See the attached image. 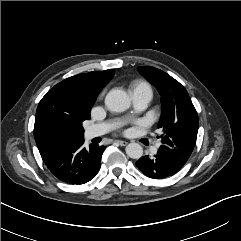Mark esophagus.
<instances>
[{"label": "esophagus", "instance_id": "esophagus-1", "mask_svg": "<svg viewBox=\"0 0 241 241\" xmlns=\"http://www.w3.org/2000/svg\"><path fill=\"white\" fill-rule=\"evenodd\" d=\"M115 142L118 143L120 146H125L128 144V142L122 140H116Z\"/></svg>", "mask_w": 241, "mask_h": 241}]
</instances>
